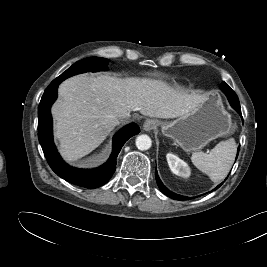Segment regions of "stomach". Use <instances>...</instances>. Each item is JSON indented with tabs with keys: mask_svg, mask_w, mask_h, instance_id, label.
Wrapping results in <instances>:
<instances>
[{
	"mask_svg": "<svg viewBox=\"0 0 267 267\" xmlns=\"http://www.w3.org/2000/svg\"><path fill=\"white\" fill-rule=\"evenodd\" d=\"M231 132V115L215 94L205 96L193 111L162 125V133L185 151H199L210 141Z\"/></svg>",
	"mask_w": 267,
	"mask_h": 267,
	"instance_id": "stomach-1",
	"label": "stomach"
}]
</instances>
